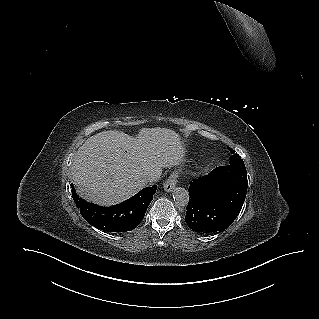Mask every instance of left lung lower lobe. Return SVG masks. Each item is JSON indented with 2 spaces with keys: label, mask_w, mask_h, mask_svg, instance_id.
I'll return each instance as SVG.
<instances>
[{
  "label": "left lung lower lobe",
  "mask_w": 319,
  "mask_h": 319,
  "mask_svg": "<svg viewBox=\"0 0 319 319\" xmlns=\"http://www.w3.org/2000/svg\"><path fill=\"white\" fill-rule=\"evenodd\" d=\"M247 187L245 166H220L194 179L185 217L189 228L202 233L228 228L242 209Z\"/></svg>",
  "instance_id": "obj_1"
}]
</instances>
